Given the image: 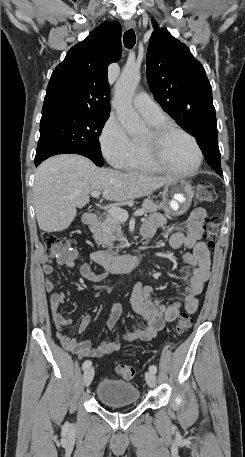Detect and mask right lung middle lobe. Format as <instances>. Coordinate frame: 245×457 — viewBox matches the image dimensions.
Here are the masks:
<instances>
[{"label":"right lung middle lobe","mask_w":245,"mask_h":457,"mask_svg":"<svg viewBox=\"0 0 245 457\" xmlns=\"http://www.w3.org/2000/svg\"><path fill=\"white\" fill-rule=\"evenodd\" d=\"M109 112L61 109L42 113L35 161L56 154L75 153L102 166L99 135Z\"/></svg>","instance_id":"right-lung-middle-lobe-1"}]
</instances>
